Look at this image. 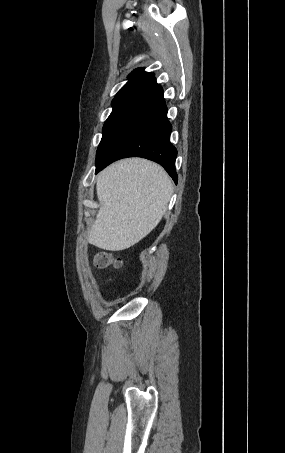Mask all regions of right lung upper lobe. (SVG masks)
Here are the masks:
<instances>
[{"mask_svg":"<svg viewBox=\"0 0 285 453\" xmlns=\"http://www.w3.org/2000/svg\"><path fill=\"white\" fill-rule=\"evenodd\" d=\"M151 72H145L144 68L135 69L129 76L128 82L119 90L113 100H126L141 87L154 80Z\"/></svg>","mask_w":285,"mask_h":453,"instance_id":"cb5924a9","label":"right lung upper lobe"}]
</instances>
